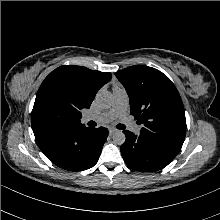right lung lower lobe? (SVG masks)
I'll use <instances>...</instances> for the list:
<instances>
[{
	"instance_id": "98d812e1",
	"label": "right lung lower lobe",
	"mask_w": 220,
	"mask_h": 220,
	"mask_svg": "<svg viewBox=\"0 0 220 220\" xmlns=\"http://www.w3.org/2000/svg\"><path fill=\"white\" fill-rule=\"evenodd\" d=\"M107 136V128L81 126L35 138L41 151L55 165L81 171L97 163Z\"/></svg>"
}]
</instances>
